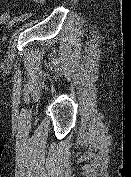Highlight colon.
<instances>
[{
    "mask_svg": "<svg viewBox=\"0 0 131 177\" xmlns=\"http://www.w3.org/2000/svg\"><path fill=\"white\" fill-rule=\"evenodd\" d=\"M39 2L41 3V2H43V0H40Z\"/></svg>",
    "mask_w": 131,
    "mask_h": 177,
    "instance_id": "1",
    "label": "colon"
}]
</instances>
